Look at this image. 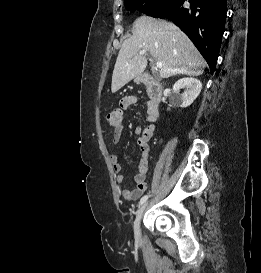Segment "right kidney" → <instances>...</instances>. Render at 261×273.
Masks as SVG:
<instances>
[{
  "mask_svg": "<svg viewBox=\"0 0 261 273\" xmlns=\"http://www.w3.org/2000/svg\"><path fill=\"white\" fill-rule=\"evenodd\" d=\"M180 89H185V91L178 96ZM201 89L202 83L198 79L191 77L179 79L173 86V93L176 95L174 99L180 107L186 108L199 96Z\"/></svg>",
  "mask_w": 261,
  "mask_h": 273,
  "instance_id": "obj_1",
  "label": "right kidney"
}]
</instances>
